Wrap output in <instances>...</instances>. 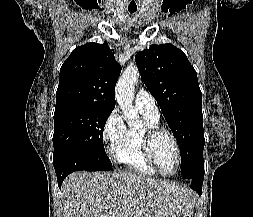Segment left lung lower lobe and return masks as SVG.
Masks as SVG:
<instances>
[{"label": "left lung lower lobe", "instance_id": "left-lung-lower-lobe-1", "mask_svg": "<svg viewBox=\"0 0 253 217\" xmlns=\"http://www.w3.org/2000/svg\"><path fill=\"white\" fill-rule=\"evenodd\" d=\"M204 178V172L202 174H199L197 176H193L189 179H187L188 183L191 185V187L196 190L199 195L202 193V183Z\"/></svg>", "mask_w": 253, "mask_h": 217}]
</instances>
